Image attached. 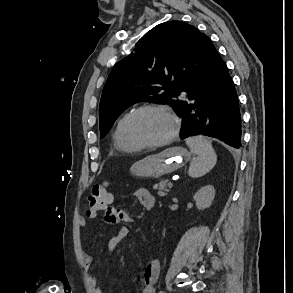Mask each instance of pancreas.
Wrapping results in <instances>:
<instances>
[{
    "label": "pancreas",
    "instance_id": "1",
    "mask_svg": "<svg viewBox=\"0 0 293 293\" xmlns=\"http://www.w3.org/2000/svg\"><path fill=\"white\" fill-rule=\"evenodd\" d=\"M157 190V194L161 197L166 196L168 189V181L167 180H160L158 184H155L153 187Z\"/></svg>",
    "mask_w": 293,
    "mask_h": 293
}]
</instances>
